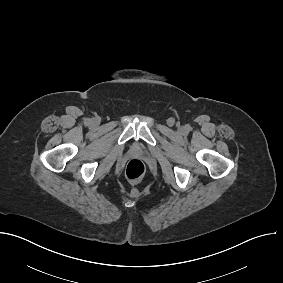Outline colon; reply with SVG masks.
Returning a JSON list of instances; mask_svg holds the SVG:
<instances>
[{
  "mask_svg": "<svg viewBox=\"0 0 283 283\" xmlns=\"http://www.w3.org/2000/svg\"><path fill=\"white\" fill-rule=\"evenodd\" d=\"M145 174V166L141 160H130L125 169V176L132 182L140 181Z\"/></svg>",
  "mask_w": 283,
  "mask_h": 283,
  "instance_id": "5ec220e1",
  "label": "colon"
}]
</instances>
